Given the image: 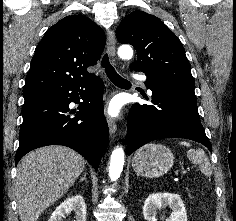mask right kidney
Returning <instances> with one entry per match:
<instances>
[{
	"mask_svg": "<svg viewBox=\"0 0 236 221\" xmlns=\"http://www.w3.org/2000/svg\"><path fill=\"white\" fill-rule=\"evenodd\" d=\"M75 212L74 221H86V205L81 195L77 194L62 202L52 213L48 221H63L65 214Z\"/></svg>",
	"mask_w": 236,
	"mask_h": 221,
	"instance_id": "right-kidney-1",
	"label": "right kidney"
}]
</instances>
